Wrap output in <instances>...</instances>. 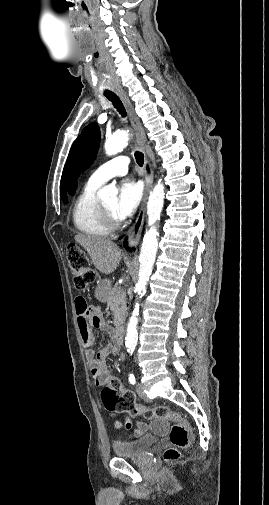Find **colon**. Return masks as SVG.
Returning a JSON list of instances; mask_svg holds the SVG:
<instances>
[{"label": "colon", "instance_id": "5ec220e1", "mask_svg": "<svg viewBox=\"0 0 269 505\" xmlns=\"http://www.w3.org/2000/svg\"><path fill=\"white\" fill-rule=\"evenodd\" d=\"M67 261L74 276V285L79 290H85L95 280V273L90 268L87 255L78 246L72 245L67 249ZM89 307V306H88ZM101 401L105 410L110 413H125L131 416H143L146 418H167L175 421L171 427L169 447L164 457L166 460H176L180 456V450L185 449L191 442L190 427L188 422L180 415L171 413L163 405L154 407L137 405L135 395L131 391L123 390L120 380L111 376L101 392ZM127 428L131 426L128 421Z\"/></svg>", "mask_w": 269, "mask_h": 505}]
</instances>
